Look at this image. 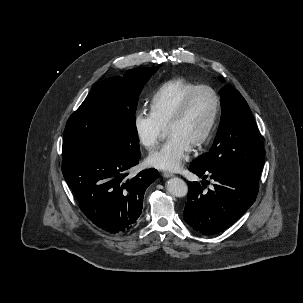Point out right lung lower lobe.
Wrapping results in <instances>:
<instances>
[{
  "mask_svg": "<svg viewBox=\"0 0 303 303\" xmlns=\"http://www.w3.org/2000/svg\"><path fill=\"white\" fill-rule=\"evenodd\" d=\"M140 156H128L109 143L92 140L63 154L62 172L82 212L110 233L129 231L143 207L144 192L159 177L155 169L127 178Z\"/></svg>",
  "mask_w": 303,
  "mask_h": 303,
  "instance_id": "1",
  "label": "right lung lower lobe"
}]
</instances>
